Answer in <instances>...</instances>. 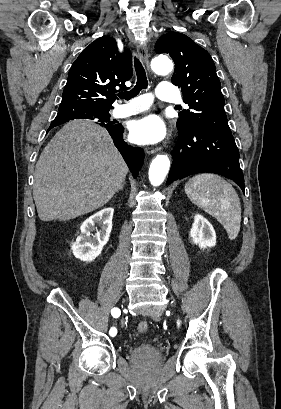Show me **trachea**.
<instances>
[{
  "instance_id": "3493384b",
  "label": "trachea",
  "mask_w": 281,
  "mask_h": 409,
  "mask_svg": "<svg viewBox=\"0 0 281 409\" xmlns=\"http://www.w3.org/2000/svg\"><path fill=\"white\" fill-rule=\"evenodd\" d=\"M135 72L137 75L136 85L129 92H120L118 96L125 100H130L136 97L139 92L148 87V80L146 76L145 69L138 58H134Z\"/></svg>"
}]
</instances>
